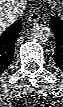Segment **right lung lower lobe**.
Segmentation results:
<instances>
[{"instance_id":"98d812e1","label":"right lung lower lobe","mask_w":63,"mask_h":107,"mask_svg":"<svg viewBox=\"0 0 63 107\" xmlns=\"http://www.w3.org/2000/svg\"><path fill=\"white\" fill-rule=\"evenodd\" d=\"M21 28L22 21L20 19L0 35V75L13 59L15 39Z\"/></svg>"}]
</instances>
